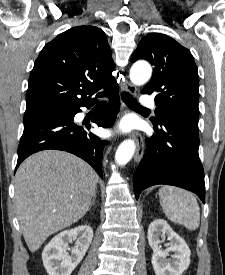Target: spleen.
<instances>
[{
	"label": "spleen",
	"mask_w": 225,
	"mask_h": 275,
	"mask_svg": "<svg viewBox=\"0 0 225 275\" xmlns=\"http://www.w3.org/2000/svg\"><path fill=\"white\" fill-rule=\"evenodd\" d=\"M158 195L163 212L171 222L183 225L188 230L199 227V205L190 192L174 186H163Z\"/></svg>",
	"instance_id": "obj_1"
}]
</instances>
